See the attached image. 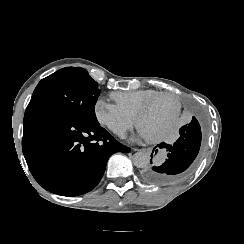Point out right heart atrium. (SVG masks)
Returning a JSON list of instances; mask_svg holds the SVG:
<instances>
[{
    "label": "right heart atrium",
    "instance_id": "obj_1",
    "mask_svg": "<svg viewBox=\"0 0 244 244\" xmlns=\"http://www.w3.org/2000/svg\"><path fill=\"white\" fill-rule=\"evenodd\" d=\"M94 112L97 120L119 137H123L138 124L135 114L107 98H100L96 101Z\"/></svg>",
    "mask_w": 244,
    "mask_h": 244
}]
</instances>
